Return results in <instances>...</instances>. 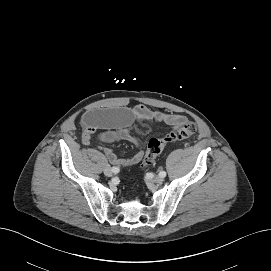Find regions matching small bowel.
I'll list each match as a JSON object with an SVG mask.
<instances>
[{"label":"small bowel","mask_w":271,"mask_h":271,"mask_svg":"<svg viewBox=\"0 0 271 271\" xmlns=\"http://www.w3.org/2000/svg\"><path fill=\"white\" fill-rule=\"evenodd\" d=\"M156 121L170 126H178L186 121L180 114L154 111L142 104L131 108L104 109L86 112L81 119L83 128L82 142L90 144L92 138L98 134L103 142H113L126 140L134 145H138L136 138L131 134L130 127L134 122ZM109 160L116 165L129 167L138 163L143 155V151H138L129 159L119 158L112 150H106Z\"/></svg>","instance_id":"obj_1"}]
</instances>
